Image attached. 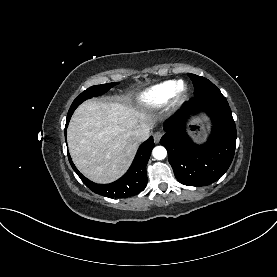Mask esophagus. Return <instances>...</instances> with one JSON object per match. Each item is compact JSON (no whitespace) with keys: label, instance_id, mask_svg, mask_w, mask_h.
Returning <instances> with one entry per match:
<instances>
[{"label":"esophagus","instance_id":"esophagus-1","mask_svg":"<svg viewBox=\"0 0 277 277\" xmlns=\"http://www.w3.org/2000/svg\"><path fill=\"white\" fill-rule=\"evenodd\" d=\"M162 135H163V134H162V132H160V131L155 132V133L153 134L154 142H155V143H159V141H160Z\"/></svg>","mask_w":277,"mask_h":277}]
</instances>
